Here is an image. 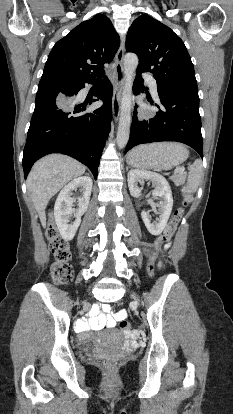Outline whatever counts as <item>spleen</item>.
Here are the masks:
<instances>
[{"label":"spleen","mask_w":233,"mask_h":414,"mask_svg":"<svg viewBox=\"0 0 233 414\" xmlns=\"http://www.w3.org/2000/svg\"><path fill=\"white\" fill-rule=\"evenodd\" d=\"M135 149H133L129 154L134 153ZM201 176H202V161L200 159H197L191 165L189 169L187 184L183 186V188L181 189L182 194L186 198L190 197L191 193L195 192V190L197 189L200 183Z\"/></svg>","instance_id":"1"}]
</instances>
